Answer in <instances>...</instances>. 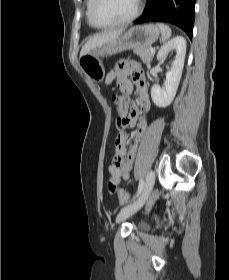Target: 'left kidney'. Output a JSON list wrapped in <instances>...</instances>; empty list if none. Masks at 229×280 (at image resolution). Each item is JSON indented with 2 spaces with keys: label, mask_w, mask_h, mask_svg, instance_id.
I'll return each instance as SVG.
<instances>
[{
  "label": "left kidney",
  "mask_w": 229,
  "mask_h": 280,
  "mask_svg": "<svg viewBox=\"0 0 229 280\" xmlns=\"http://www.w3.org/2000/svg\"><path fill=\"white\" fill-rule=\"evenodd\" d=\"M171 50H175L176 56L172 61L171 69L166 73L163 87L155 84L151 88V98L154 104L163 108L170 105L176 95L184 67L186 40L181 36L173 38L161 47L157 54V60L161 62Z\"/></svg>",
  "instance_id": "1"
}]
</instances>
